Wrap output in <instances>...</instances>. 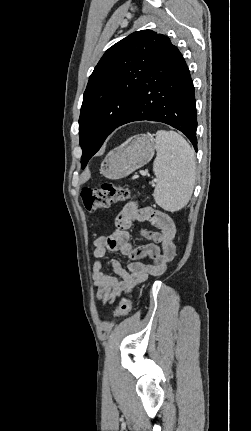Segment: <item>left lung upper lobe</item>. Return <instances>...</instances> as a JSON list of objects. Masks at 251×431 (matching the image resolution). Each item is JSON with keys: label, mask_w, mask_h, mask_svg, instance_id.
Segmentation results:
<instances>
[{"label": "left lung upper lobe", "mask_w": 251, "mask_h": 431, "mask_svg": "<svg viewBox=\"0 0 251 431\" xmlns=\"http://www.w3.org/2000/svg\"><path fill=\"white\" fill-rule=\"evenodd\" d=\"M167 39L151 30L137 31L110 47L98 62L79 118L82 169L125 118Z\"/></svg>", "instance_id": "1"}]
</instances>
